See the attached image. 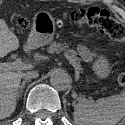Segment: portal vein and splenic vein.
<instances>
[{
  "label": "portal vein and splenic vein",
  "instance_id": "1",
  "mask_svg": "<svg viewBox=\"0 0 125 125\" xmlns=\"http://www.w3.org/2000/svg\"><path fill=\"white\" fill-rule=\"evenodd\" d=\"M64 56L66 59L76 68V63L71 59V57L64 53ZM31 68V65L24 63L21 59H16L14 62H7V63H1L0 64V70H28Z\"/></svg>",
  "mask_w": 125,
  "mask_h": 125
}]
</instances>
